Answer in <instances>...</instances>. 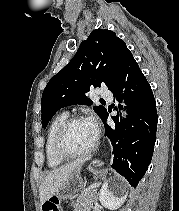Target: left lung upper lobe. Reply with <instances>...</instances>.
<instances>
[{"mask_svg": "<svg viewBox=\"0 0 179 211\" xmlns=\"http://www.w3.org/2000/svg\"><path fill=\"white\" fill-rule=\"evenodd\" d=\"M131 52L110 30L96 29L83 41L73 59L48 82L42 94V127L61 108L74 104L91 105L86 97L91 87L105 84L110 90ZM102 119L107 110L95 106Z\"/></svg>", "mask_w": 179, "mask_h": 211, "instance_id": "obj_1", "label": "left lung upper lobe"}]
</instances>
